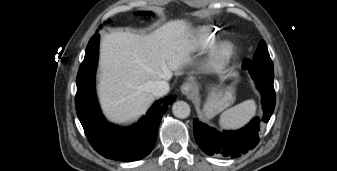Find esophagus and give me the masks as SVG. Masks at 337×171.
<instances>
[{"mask_svg": "<svg viewBox=\"0 0 337 171\" xmlns=\"http://www.w3.org/2000/svg\"><path fill=\"white\" fill-rule=\"evenodd\" d=\"M180 90L183 95H192L194 92V85L191 82H185L182 84Z\"/></svg>", "mask_w": 337, "mask_h": 171, "instance_id": "34e87169", "label": "esophagus"}]
</instances>
